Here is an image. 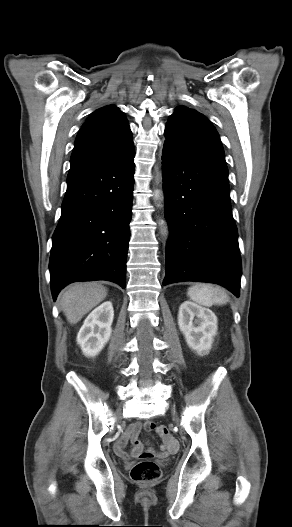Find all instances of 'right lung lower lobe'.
Masks as SVG:
<instances>
[{
    "instance_id": "1",
    "label": "right lung lower lobe",
    "mask_w": 292,
    "mask_h": 527,
    "mask_svg": "<svg viewBox=\"0 0 292 527\" xmlns=\"http://www.w3.org/2000/svg\"><path fill=\"white\" fill-rule=\"evenodd\" d=\"M134 156L132 149L103 159L71 161L62 213L49 262L56 300L71 282L108 280L126 285Z\"/></svg>"
}]
</instances>
